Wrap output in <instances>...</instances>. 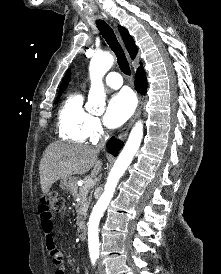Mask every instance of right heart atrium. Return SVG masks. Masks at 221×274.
I'll use <instances>...</instances> for the list:
<instances>
[{
  "label": "right heart atrium",
  "instance_id": "1",
  "mask_svg": "<svg viewBox=\"0 0 221 274\" xmlns=\"http://www.w3.org/2000/svg\"><path fill=\"white\" fill-rule=\"evenodd\" d=\"M104 133L103 126L97 117H92L89 125V137L92 140H98Z\"/></svg>",
  "mask_w": 221,
  "mask_h": 274
}]
</instances>
